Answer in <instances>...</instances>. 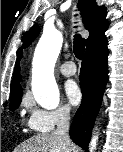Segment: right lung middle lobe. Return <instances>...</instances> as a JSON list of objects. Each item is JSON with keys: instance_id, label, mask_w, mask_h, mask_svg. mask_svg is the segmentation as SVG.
Masks as SVG:
<instances>
[{"instance_id": "dd1d6c3e", "label": "right lung middle lobe", "mask_w": 123, "mask_h": 152, "mask_svg": "<svg viewBox=\"0 0 123 152\" xmlns=\"http://www.w3.org/2000/svg\"><path fill=\"white\" fill-rule=\"evenodd\" d=\"M22 94H23V91L20 90V91L11 95L10 105H9V109L11 111L17 109L18 106L20 105Z\"/></svg>"}]
</instances>
